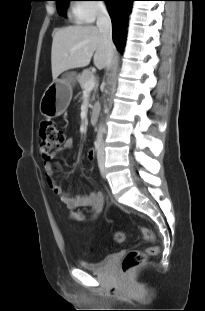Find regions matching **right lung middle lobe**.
<instances>
[{
    "label": "right lung middle lobe",
    "instance_id": "right-lung-middle-lobe-1",
    "mask_svg": "<svg viewBox=\"0 0 205 311\" xmlns=\"http://www.w3.org/2000/svg\"><path fill=\"white\" fill-rule=\"evenodd\" d=\"M55 1H56L58 13L61 16L65 17L67 4H68V1H70V0H55Z\"/></svg>",
    "mask_w": 205,
    "mask_h": 311
}]
</instances>
